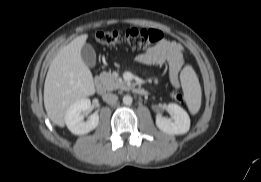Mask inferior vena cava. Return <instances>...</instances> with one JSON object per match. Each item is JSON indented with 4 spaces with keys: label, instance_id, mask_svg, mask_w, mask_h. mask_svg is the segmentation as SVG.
<instances>
[{
    "label": "inferior vena cava",
    "instance_id": "obj_1",
    "mask_svg": "<svg viewBox=\"0 0 261 182\" xmlns=\"http://www.w3.org/2000/svg\"><path fill=\"white\" fill-rule=\"evenodd\" d=\"M103 100L108 104H115L118 100V96L112 93H106L103 95Z\"/></svg>",
    "mask_w": 261,
    "mask_h": 182
}]
</instances>
